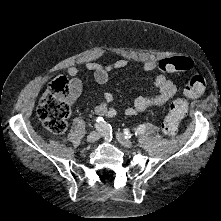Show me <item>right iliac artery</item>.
<instances>
[{"instance_id":"82829eb1","label":"right iliac artery","mask_w":221,"mask_h":221,"mask_svg":"<svg viewBox=\"0 0 221 221\" xmlns=\"http://www.w3.org/2000/svg\"><path fill=\"white\" fill-rule=\"evenodd\" d=\"M96 128L100 129V131L106 132L109 130V125L106 124L104 119L102 117H98L96 120Z\"/></svg>"}]
</instances>
